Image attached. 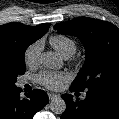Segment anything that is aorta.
Returning a JSON list of instances; mask_svg holds the SVG:
<instances>
[{"label": "aorta", "instance_id": "762f6f07", "mask_svg": "<svg viewBox=\"0 0 119 119\" xmlns=\"http://www.w3.org/2000/svg\"><path fill=\"white\" fill-rule=\"evenodd\" d=\"M41 64L45 68L59 69L62 67V59L54 52H45L41 56ZM50 109L55 114H62L66 109V103L61 97H55L50 102Z\"/></svg>", "mask_w": 119, "mask_h": 119}]
</instances>
